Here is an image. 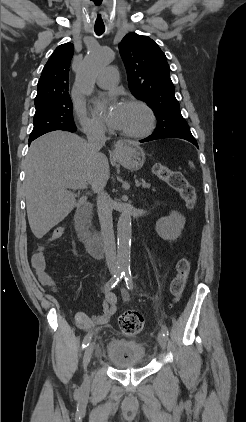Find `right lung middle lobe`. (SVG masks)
<instances>
[{
    "mask_svg": "<svg viewBox=\"0 0 246 422\" xmlns=\"http://www.w3.org/2000/svg\"><path fill=\"white\" fill-rule=\"evenodd\" d=\"M34 128L29 140L54 130L69 131L76 128L73 120V104L69 96L37 108L33 118Z\"/></svg>",
    "mask_w": 246,
    "mask_h": 422,
    "instance_id": "obj_1",
    "label": "right lung middle lobe"
}]
</instances>
